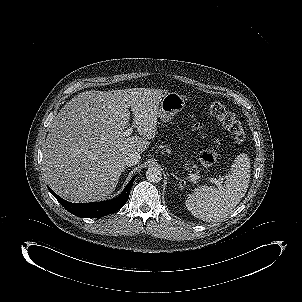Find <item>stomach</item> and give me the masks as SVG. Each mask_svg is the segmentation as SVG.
Masks as SVG:
<instances>
[{
  "instance_id": "0dacf381",
  "label": "stomach",
  "mask_w": 302,
  "mask_h": 302,
  "mask_svg": "<svg viewBox=\"0 0 302 302\" xmlns=\"http://www.w3.org/2000/svg\"><path fill=\"white\" fill-rule=\"evenodd\" d=\"M185 107V99L176 92H168L160 102L158 117L164 122L170 121L173 116Z\"/></svg>"
}]
</instances>
